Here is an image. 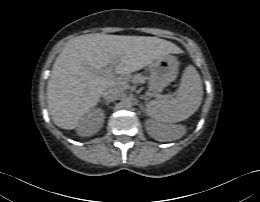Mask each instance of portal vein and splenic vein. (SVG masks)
Returning <instances> with one entry per match:
<instances>
[{
    "label": "portal vein and splenic vein",
    "instance_id": "portal-vein-and-splenic-vein-1",
    "mask_svg": "<svg viewBox=\"0 0 260 202\" xmlns=\"http://www.w3.org/2000/svg\"><path fill=\"white\" fill-rule=\"evenodd\" d=\"M113 65H114V63H112V65L108 66V67L105 68V69H102V70H100V71H96L95 73H96L97 75H100V76L114 77L113 72H112V70H113Z\"/></svg>",
    "mask_w": 260,
    "mask_h": 202
}]
</instances>
